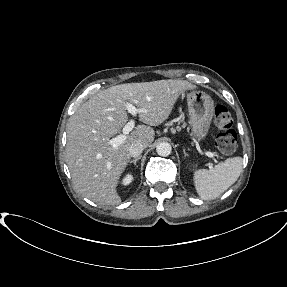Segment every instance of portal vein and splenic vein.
<instances>
[{"label":"portal vein and splenic vein","mask_w":287,"mask_h":287,"mask_svg":"<svg viewBox=\"0 0 287 287\" xmlns=\"http://www.w3.org/2000/svg\"><path fill=\"white\" fill-rule=\"evenodd\" d=\"M126 109L128 110V112L132 115V116H136L137 113L139 112H147L146 109H137L133 104L131 103H127L126 104ZM135 127V121L134 119L129 120V122L123 127L122 129V134L110 139L108 141V144L110 146H112L113 148H117L120 144H122L126 138L127 135L133 130V128ZM204 154L210 158H214V155L212 152H204Z\"/></svg>","instance_id":"1"}]
</instances>
